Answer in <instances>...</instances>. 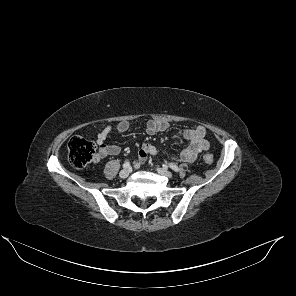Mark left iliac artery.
<instances>
[{
  "label": "left iliac artery",
  "instance_id": "1",
  "mask_svg": "<svg viewBox=\"0 0 296 296\" xmlns=\"http://www.w3.org/2000/svg\"><path fill=\"white\" fill-rule=\"evenodd\" d=\"M163 167H165V168L170 167L173 171L179 172L178 166L173 163H170V164L165 163V164H163Z\"/></svg>",
  "mask_w": 296,
  "mask_h": 296
}]
</instances>
